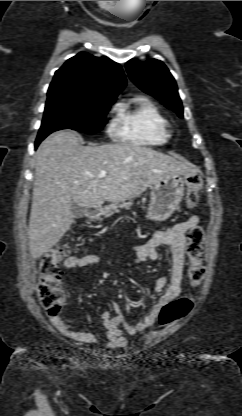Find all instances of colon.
<instances>
[{"label":"colon","instance_id":"colon-1","mask_svg":"<svg viewBox=\"0 0 242 416\" xmlns=\"http://www.w3.org/2000/svg\"><path fill=\"white\" fill-rule=\"evenodd\" d=\"M201 185L202 179L199 175H192L187 178V202L191 208L197 205L198 190ZM203 240L204 228L201 225H196L189 230L186 253L189 260L188 278L193 288L201 284L205 273L202 265ZM66 253L67 250L64 246H55L46 251L39 262L37 294L41 306L50 317L60 316L65 303V292L62 287L59 264ZM193 305L194 298L191 294L165 304L159 313V324L167 326L180 321L190 313Z\"/></svg>","mask_w":242,"mask_h":416}]
</instances>
